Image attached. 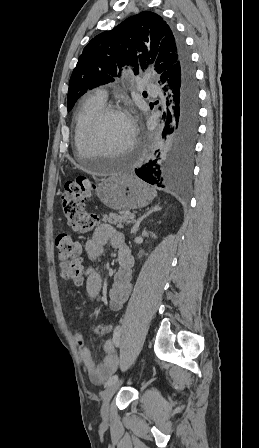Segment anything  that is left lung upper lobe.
Wrapping results in <instances>:
<instances>
[{
  "label": "left lung upper lobe",
  "instance_id": "5c2ea615",
  "mask_svg": "<svg viewBox=\"0 0 259 448\" xmlns=\"http://www.w3.org/2000/svg\"><path fill=\"white\" fill-rule=\"evenodd\" d=\"M180 56L177 37L161 16L151 11L131 16L95 36L83 49L69 81L67 109L88 89L113 82L125 65L134 66L138 74V62L142 69L154 64L163 73Z\"/></svg>",
  "mask_w": 259,
  "mask_h": 448
}]
</instances>
